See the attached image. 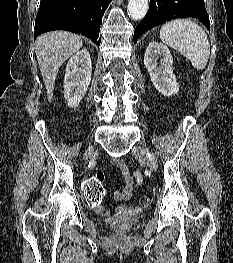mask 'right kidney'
Segmentation results:
<instances>
[{
  "mask_svg": "<svg viewBox=\"0 0 233 263\" xmlns=\"http://www.w3.org/2000/svg\"><path fill=\"white\" fill-rule=\"evenodd\" d=\"M92 75V63L87 49L73 55L65 70L64 97L69 107H76L86 94Z\"/></svg>",
  "mask_w": 233,
  "mask_h": 263,
  "instance_id": "ca27d5eb",
  "label": "right kidney"
}]
</instances>
